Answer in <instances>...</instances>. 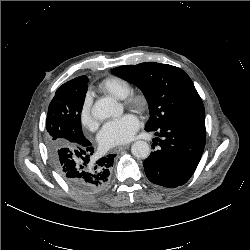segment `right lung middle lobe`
I'll use <instances>...</instances> for the list:
<instances>
[{"instance_id":"1","label":"right lung middle lobe","mask_w":250,"mask_h":250,"mask_svg":"<svg viewBox=\"0 0 250 250\" xmlns=\"http://www.w3.org/2000/svg\"><path fill=\"white\" fill-rule=\"evenodd\" d=\"M83 75L60 86L52 99L46 119V143L50 153L72 148L86 138L81 128V111L88 89Z\"/></svg>"}]
</instances>
